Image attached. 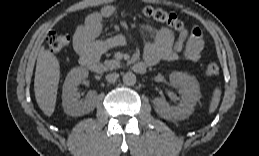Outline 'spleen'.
I'll use <instances>...</instances> for the list:
<instances>
[{
    "label": "spleen",
    "mask_w": 259,
    "mask_h": 156,
    "mask_svg": "<svg viewBox=\"0 0 259 156\" xmlns=\"http://www.w3.org/2000/svg\"><path fill=\"white\" fill-rule=\"evenodd\" d=\"M220 98H221V89L219 87H216L212 93V98L209 105V114H212L215 112V110L219 105Z\"/></svg>",
    "instance_id": "1"
}]
</instances>
